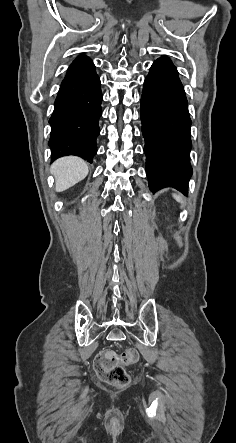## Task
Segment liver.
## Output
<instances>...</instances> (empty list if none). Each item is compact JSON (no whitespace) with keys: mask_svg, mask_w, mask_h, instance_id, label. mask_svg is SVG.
Returning <instances> with one entry per match:
<instances>
[{"mask_svg":"<svg viewBox=\"0 0 236 443\" xmlns=\"http://www.w3.org/2000/svg\"><path fill=\"white\" fill-rule=\"evenodd\" d=\"M50 172L55 176V190L63 192L87 176L88 165L79 157L67 156L56 160Z\"/></svg>","mask_w":236,"mask_h":443,"instance_id":"1","label":"liver"}]
</instances>
